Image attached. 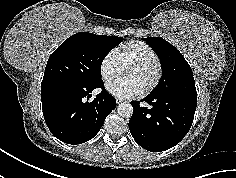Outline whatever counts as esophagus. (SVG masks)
I'll return each instance as SVG.
<instances>
[{
  "label": "esophagus",
  "mask_w": 236,
  "mask_h": 178,
  "mask_svg": "<svg viewBox=\"0 0 236 178\" xmlns=\"http://www.w3.org/2000/svg\"><path fill=\"white\" fill-rule=\"evenodd\" d=\"M122 102H123V100H121V99H119V98L116 99V103H117V104H120V103H122Z\"/></svg>",
  "instance_id": "obj_1"
}]
</instances>
